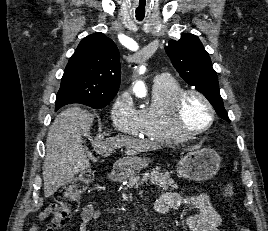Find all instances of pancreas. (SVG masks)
Returning <instances> with one entry per match:
<instances>
[{
    "label": "pancreas",
    "mask_w": 268,
    "mask_h": 231,
    "mask_svg": "<svg viewBox=\"0 0 268 231\" xmlns=\"http://www.w3.org/2000/svg\"><path fill=\"white\" fill-rule=\"evenodd\" d=\"M148 181L163 190H168L169 188L174 190L178 188L177 184H174V180L170 178L169 173H161L159 167L143 173L142 178L140 176L130 177L127 188H137L138 185H141L144 182L147 183Z\"/></svg>",
    "instance_id": "cf45deb5"
}]
</instances>
